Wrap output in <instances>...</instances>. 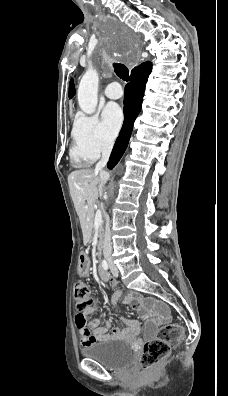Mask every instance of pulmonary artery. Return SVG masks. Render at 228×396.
Masks as SVG:
<instances>
[{
  "mask_svg": "<svg viewBox=\"0 0 228 396\" xmlns=\"http://www.w3.org/2000/svg\"><path fill=\"white\" fill-rule=\"evenodd\" d=\"M105 95L109 99H119L123 95V91L119 83L112 82L106 86Z\"/></svg>",
  "mask_w": 228,
  "mask_h": 396,
  "instance_id": "e3ab8cb5",
  "label": "pulmonary artery"
}]
</instances>
